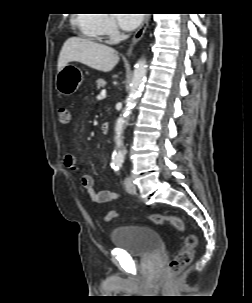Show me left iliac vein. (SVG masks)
Listing matches in <instances>:
<instances>
[{"label":"left iliac vein","instance_id":"obj_1","mask_svg":"<svg viewBox=\"0 0 252 303\" xmlns=\"http://www.w3.org/2000/svg\"><path fill=\"white\" fill-rule=\"evenodd\" d=\"M125 188L129 193H134L136 191V187L129 177L125 179Z\"/></svg>","mask_w":252,"mask_h":303}]
</instances>
